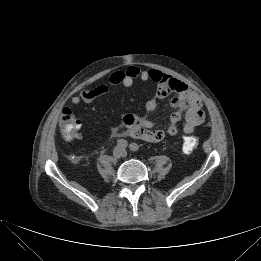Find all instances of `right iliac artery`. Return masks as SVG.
Here are the masks:
<instances>
[{"instance_id":"obj_1","label":"right iliac artery","mask_w":261,"mask_h":261,"mask_svg":"<svg viewBox=\"0 0 261 261\" xmlns=\"http://www.w3.org/2000/svg\"><path fill=\"white\" fill-rule=\"evenodd\" d=\"M128 142L125 139H119L117 140V146L121 147V148H125L127 147Z\"/></svg>"}]
</instances>
